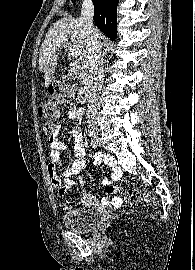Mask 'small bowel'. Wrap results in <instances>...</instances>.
Returning a JSON list of instances; mask_svg holds the SVG:
<instances>
[{
	"instance_id": "c3829d8e",
	"label": "small bowel",
	"mask_w": 195,
	"mask_h": 270,
	"mask_svg": "<svg viewBox=\"0 0 195 270\" xmlns=\"http://www.w3.org/2000/svg\"><path fill=\"white\" fill-rule=\"evenodd\" d=\"M70 121H75V126L71 129L70 134L74 141V152L76 159L67 169H57V165L60 162L61 152L66 150V145L63 143L59 134L64 125ZM83 109L80 107L73 108L66 112L63 119L57 125L54 133L49 138L50 162L47 166L48 173L51 178L52 185L58 189L61 195L66 194L69 189H72L76 185V181L72 178L77 176L79 182L83 183L84 180L79 176L80 171L84 168V156H85V144H84V132H83ZM104 160L111 172V177H106L102 180V184L105 186L107 193H113L114 187L112 186V180L118 178L121 175V170L117 166L116 162L112 158L96 155L94 158L95 164H100ZM83 204L92 205L95 202V198L90 194H84L81 198ZM102 203L113 207H120L122 200L120 197H113L112 199L103 198ZM65 209H72L70 201L64 202Z\"/></svg>"
}]
</instances>
